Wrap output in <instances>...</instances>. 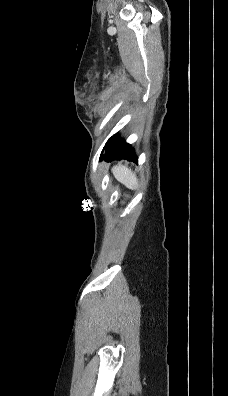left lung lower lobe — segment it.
Listing matches in <instances>:
<instances>
[{
    "mask_svg": "<svg viewBox=\"0 0 228 396\" xmlns=\"http://www.w3.org/2000/svg\"><path fill=\"white\" fill-rule=\"evenodd\" d=\"M102 157L103 156L101 153L100 159H102ZM104 158L107 161L122 160V159L131 160V161L138 160L131 145L124 142L123 140H120L117 137V134L113 135L107 141Z\"/></svg>",
    "mask_w": 228,
    "mask_h": 396,
    "instance_id": "0a47b994",
    "label": "left lung lower lobe"
}]
</instances>
